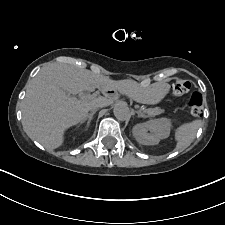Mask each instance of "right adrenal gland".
I'll use <instances>...</instances> for the list:
<instances>
[{"instance_id": "1", "label": "right adrenal gland", "mask_w": 225, "mask_h": 225, "mask_svg": "<svg viewBox=\"0 0 225 225\" xmlns=\"http://www.w3.org/2000/svg\"><path fill=\"white\" fill-rule=\"evenodd\" d=\"M96 112H97V109H96V110H93L91 113L88 114L86 120H84V121L82 122V123H84L85 121H87L86 129L89 128L90 123H91V121H92V119H93V116H94V114H95Z\"/></svg>"}]
</instances>
